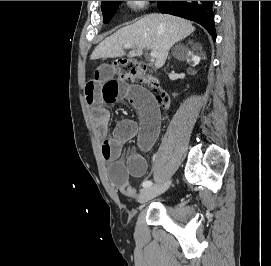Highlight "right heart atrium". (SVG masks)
Here are the masks:
<instances>
[{
  "instance_id": "obj_1",
  "label": "right heart atrium",
  "mask_w": 271,
  "mask_h": 266,
  "mask_svg": "<svg viewBox=\"0 0 271 266\" xmlns=\"http://www.w3.org/2000/svg\"><path fill=\"white\" fill-rule=\"evenodd\" d=\"M128 6L133 10H140L147 6L150 1H126Z\"/></svg>"
}]
</instances>
